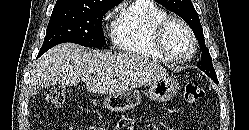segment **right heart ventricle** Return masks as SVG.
<instances>
[{
    "mask_svg": "<svg viewBox=\"0 0 249 130\" xmlns=\"http://www.w3.org/2000/svg\"><path fill=\"white\" fill-rule=\"evenodd\" d=\"M167 12L153 0H133L122 8L111 31L114 46L126 54L164 60L156 50L153 32Z\"/></svg>",
    "mask_w": 249,
    "mask_h": 130,
    "instance_id": "e07e8e85",
    "label": "right heart ventricle"
}]
</instances>
